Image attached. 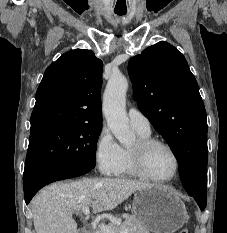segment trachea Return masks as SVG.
Returning a JSON list of instances; mask_svg holds the SVG:
<instances>
[{
    "mask_svg": "<svg viewBox=\"0 0 227 233\" xmlns=\"http://www.w3.org/2000/svg\"><path fill=\"white\" fill-rule=\"evenodd\" d=\"M117 15H120V16H122V15H125L126 14V12H115Z\"/></svg>",
    "mask_w": 227,
    "mask_h": 233,
    "instance_id": "1",
    "label": "trachea"
}]
</instances>
